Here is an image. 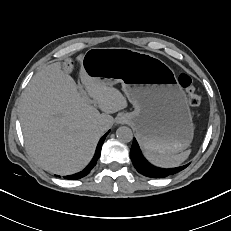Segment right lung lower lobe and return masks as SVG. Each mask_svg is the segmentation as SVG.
Listing matches in <instances>:
<instances>
[{
  "label": "right lung lower lobe",
  "mask_w": 231,
  "mask_h": 231,
  "mask_svg": "<svg viewBox=\"0 0 231 231\" xmlns=\"http://www.w3.org/2000/svg\"><path fill=\"white\" fill-rule=\"evenodd\" d=\"M108 133H109V131L100 139V141L98 143V146H97V149H96L95 156L92 159V161L90 162V164L81 172H78V173L73 174V175L65 176L64 177L65 179H69V180L80 179V178L86 176L94 168V166L96 165L97 160H98V158H99V156L101 154L102 144H103L106 136L108 135Z\"/></svg>",
  "instance_id": "obj_1"
}]
</instances>
